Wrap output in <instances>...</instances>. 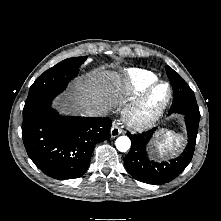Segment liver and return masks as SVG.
I'll list each match as a JSON object with an SVG mask.
<instances>
[{"instance_id": "liver-1", "label": "liver", "mask_w": 221, "mask_h": 221, "mask_svg": "<svg viewBox=\"0 0 221 221\" xmlns=\"http://www.w3.org/2000/svg\"><path fill=\"white\" fill-rule=\"evenodd\" d=\"M121 80L118 74L104 70L89 72L77 81L67 97L69 111L86 113L99 109L105 114L117 102Z\"/></svg>"}]
</instances>
